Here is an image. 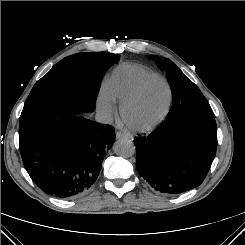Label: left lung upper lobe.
I'll use <instances>...</instances> for the list:
<instances>
[{
	"label": "left lung upper lobe",
	"instance_id": "5c2ea615",
	"mask_svg": "<svg viewBox=\"0 0 245 245\" xmlns=\"http://www.w3.org/2000/svg\"><path fill=\"white\" fill-rule=\"evenodd\" d=\"M149 58L153 59L157 66L166 72L171 87L173 103L166 119L182 112H197L214 116L208 101L199 88L171 60L162 61L154 55H150Z\"/></svg>",
	"mask_w": 245,
	"mask_h": 245
}]
</instances>
